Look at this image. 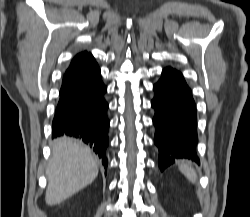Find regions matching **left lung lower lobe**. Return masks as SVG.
<instances>
[{"label": "left lung lower lobe", "instance_id": "left-lung-lower-lobe-1", "mask_svg": "<svg viewBox=\"0 0 250 217\" xmlns=\"http://www.w3.org/2000/svg\"><path fill=\"white\" fill-rule=\"evenodd\" d=\"M153 89L154 142L159 149L161 171L177 159L199 163L195 149L198 141L196 106L183 75L171 67L165 68Z\"/></svg>", "mask_w": 250, "mask_h": 217}]
</instances>
